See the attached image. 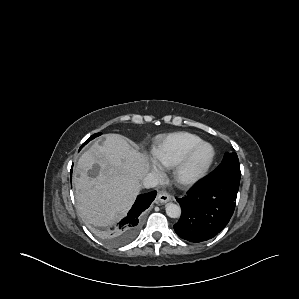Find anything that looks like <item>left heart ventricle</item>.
Returning a JSON list of instances; mask_svg holds the SVG:
<instances>
[{"instance_id": "b2bd125f", "label": "left heart ventricle", "mask_w": 299, "mask_h": 299, "mask_svg": "<svg viewBox=\"0 0 299 299\" xmlns=\"http://www.w3.org/2000/svg\"><path fill=\"white\" fill-rule=\"evenodd\" d=\"M211 156V149L209 147H203L195 156L192 170H198L203 167Z\"/></svg>"}]
</instances>
